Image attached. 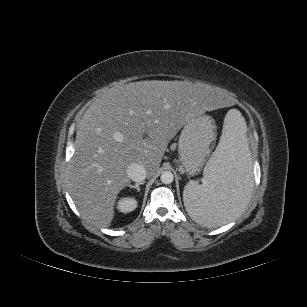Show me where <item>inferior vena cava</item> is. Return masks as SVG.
Segmentation results:
<instances>
[{"label": "inferior vena cava", "instance_id": "1", "mask_svg": "<svg viewBox=\"0 0 307 307\" xmlns=\"http://www.w3.org/2000/svg\"><path fill=\"white\" fill-rule=\"evenodd\" d=\"M127 175L134 182H142L146 178L147 171L143 165L132 163L127 168Z\"/></svg>", "mask_w": 307, "mask_h": 307}]
</instances>
